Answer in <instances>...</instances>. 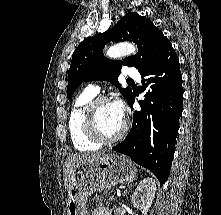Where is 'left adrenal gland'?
Instances as JSON below:
<instances>
[{
  "label": "left adrenal gland",
  "mask_w": 221,
  "mask_h": 215,
  "mask_svg": "<svg viewBox=\"0 0 221 215\" xmlns=\"http://www.w3.org/2000/svg\"><path fill=\"white\" fill-rule=\"evenodd\" d=\"M130 186H132V184H131V185H129L128 187H130ZM126 191H127V190H125V191H124V193H125Z\"/></svg>",
  "instance_id": "left-adrenal-gland-1"
}]
</instances>
